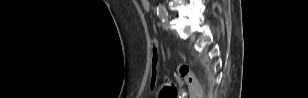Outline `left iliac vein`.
<instances>
[{"label": "left iliac vein", "mask_w": 308, "mask_h": 98, "mask_svg": "<svg viewBox=\"0 0 308 98\" xmlns=\"http://www.w3.org/2000/svg\"><path fill=\"white\" fill-rule=\"evenodd\" d=\"M169 23H168V21H164V23H163V28L165 29V30H169Z\"/></svg>", "instance_id": "obj_1"}]
</instances>
